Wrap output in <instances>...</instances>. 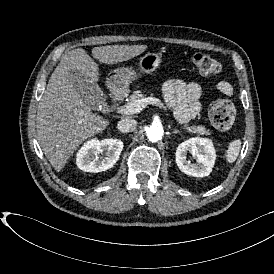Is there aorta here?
Wrapping results in <instances>:
<instances>
[{
    "mask_svg": "<svg viewBox=\"0 0 274 274\" xmlns=\"http://www.w3.org/2000/svg\"><path fill=\"white\" fill-rule=\"evenodd\" d=\"M146 134L149 141L157 142L162 139L164 130L160 123H152V125L147 128Z\"/></svg>",
    "mask_w": 274,
    "mask_h": 274,
    "instance_id": "762f6f07",
    "label": "aorta"
}]
</instances>
